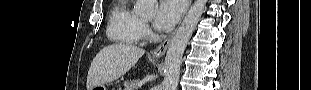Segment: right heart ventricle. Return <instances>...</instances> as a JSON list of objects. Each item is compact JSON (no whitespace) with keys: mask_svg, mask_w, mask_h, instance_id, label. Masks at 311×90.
I'll list each match as a JSON object with an SVG mask.
<instances>
[{"mask_svg":"<svg viewBox=\"0 0 311 90\" xmlns=\"http://www.w3.org/2000/svg\"><path fill=\"white\" fill-rule=\"evenodd\" d=\"M141 18L126 1L113 7L108 27V37L123 44H135L141 37Z\"/></svg>","mask_w":311,"mask_h":90,"instance_id":"1","label":"right heart ventricle"}]
</instances>
